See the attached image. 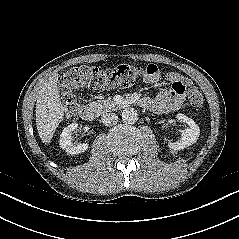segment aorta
<instances>
[{
    "mask_svg": "<svg viewBox=\"0 0 239 239\" xmlns=\"http://www.w3.org/2000/svg\"><path fill=\"white\" fill-rule=\"evenodd\" d=\"M122 120L127 124H134L138 120V113L134 108H126L122 111Z\"/></svg>",
    "mask_w": 239,
    "mask_h": 239,
    "instance_id": "obj_1",
    "label": "aorta"
}]
</instances>
